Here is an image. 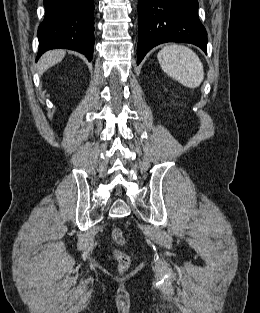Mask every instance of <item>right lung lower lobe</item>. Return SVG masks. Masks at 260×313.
<instances>
[{"instance_id": "98d812e1", "label": "right lung lower lobe", "mask_w": 260, "mask_h": 313, "mask_svg": "<svg viewBox=\"0 0 260 313\" xmlns=\"http://www.w3.org/2000/svg\"><path fill=\"white\" fill-rule=\"evenodd\" d=\"M45 17L38 28L37 59L50 49L65 48L84 54L94 50L93 0H44Z\"/></svg>"}]
</instances>
